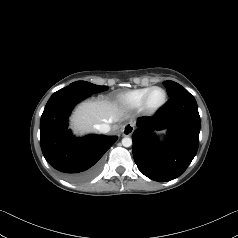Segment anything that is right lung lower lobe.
<instances>
[{
  "label": "right lung lower lobe",
  "instance_id": "1",
  "mask_svg": "<svg viewBox=\"0 0 238 238\" xmlns=\"http://www.w3.org/2000/svg\"><path fill=\"white\" fill-rule=\"evenodd\" d=\"M90 95L74 85L58 90L48 100L40 121V144L45 159L75 183L85 182L98 173L100 158L118 139L104 135L76 138L67 128L75 104Z\"/></svg>",
  "mask_w": 238,
  "mask_h": 238
}]
</instances>
